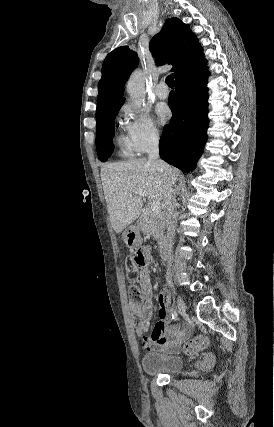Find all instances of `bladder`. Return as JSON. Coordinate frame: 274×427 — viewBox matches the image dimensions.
<instances>
[{
    "mask_svg": "<svg viewBox=\"0 0 274 427\" xmlns=\"http://www.w3.org/2000/svg\"><path fill=\"white\" fill-rule=\"evenodd\" d=\"M143 373L151 374H174L180 372L183 367L179 355L167 356L161 353H146L142 358Z\"/></svg>",
    "mask_w": 274,
    "mask_h": 427,
    "instance_id": "obj_1",
    "label": "bladder"
}]
</instances>
